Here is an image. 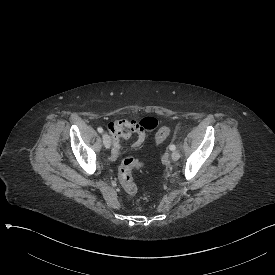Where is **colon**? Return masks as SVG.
<instances>
[{
  "instance_id": "1",
  "label": "colon",
  "mask_w": 275,
  "mask_h": 275,
  "mask_svg": "<svg viewBox=\"0 0 275 275\" xmlns=\"http://www.w3.org/2000/svg\"><path fill=\"white\" fill-rule=\"evenodd\" d=\"M171 133V128L168 126H162L159 128L155 135V149L152 158L148 161H140L134 158H127L126 161H123L119 172H118V181L123 189L130 196H134L137 193V185L134 181V170H145L155 167L161 157L162 150V141H165Z\"/></svg>"
}]
</instances>
